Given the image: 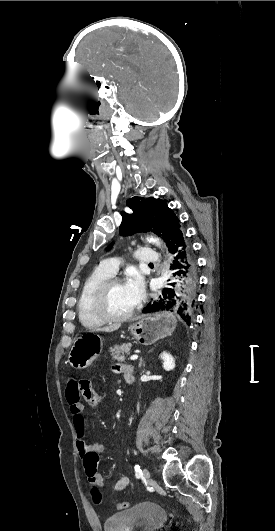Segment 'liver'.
Returning <instances> with one entry per match:
<instances>
[{"instance_id": "liver-1", "label": "liver", "mask_w": 275, "mask_h": 531, "mask_svg": "<svg viewBox=\"0 0 275 531\" xmlns=\"http://www.w3.org/2000/svg\"><path fill=\"white\" fill-rule=\"evenodd\" d=\"M120 327H121V323H115V325H110V327H102V329H95V331H104V333H113V331H118Z\"/></svg>"}]
</instances>
